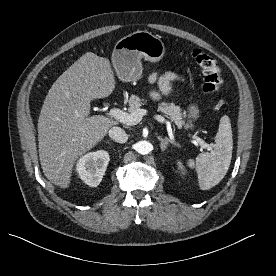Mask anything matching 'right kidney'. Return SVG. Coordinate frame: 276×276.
<instances>
[{"label": "right kidney", "instance_id": "ca27d5eb", "mask_svg": "<svg viewBox=\"0 0 276 276\" xmlns=\"http://www.w3.org/2000/svg\"><path fill=\"white\" fill-rule=\"evenodd\" d=\"M109 160L107 151L90 152L78 160L76 171L84 183L91 187H96L100 184L105 174Z\"/></svg>", "mask_w": 276, "mask_h": 276}]
</instances>
